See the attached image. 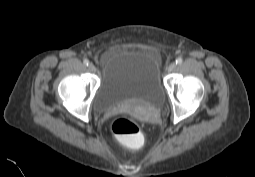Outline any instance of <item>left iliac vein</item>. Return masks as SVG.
Returning a JSON list of instances; mask_svg holds the SVG:
<instances>
[{
    "label": "left iliac vein",
    "instance_id": "4c4485c4",
    "mask_svg": "<svg viewBox=\"0 0 255 177\" xmlns=\"http://www.w3.org/2000/svg\"><path fill=\"white\" fill-rule=\"evenodd\" d=\"M176 64L175 63H171L169 66H168V72H173L176 68Z\"/></svg>",
    "mask_w": 255,
    "mask_h": 177
}]
</instances>
